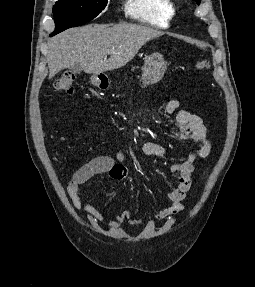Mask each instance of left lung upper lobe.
<instances>
[{
	"mask_svg": "<svg viewBox=\"0 0 255 287\" xmlns=\"http://www.w3.org/2000/svg\"><path fill=\"white\" fill-rule=\"evenodd\" d=\"M194 1H195L197 4H199L201 0H194Z\"/></svg>",
	"mask_w": 255,
	"mask_h": 287,
	"instance_id": "left-lung-upper-lobe-1",
	"label": "left lung upper lobe"
}]
</instances>
